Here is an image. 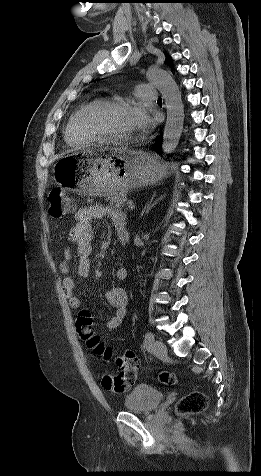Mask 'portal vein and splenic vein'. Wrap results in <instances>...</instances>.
I'll use <instances>...</instances> for the list:
<instances>
[{
  "instance_id": "18ae733b",
  "label": "portal vein and splenic vein",
  "mask_w": 261,
  "mask_h": 476,
  "mask_svg": "<svg viewBox=\"0 0 261 476\" xmlns=\"http://www.w3.org/2000/svg\"><path fill=\"white\" fill-rule=\"evenodd\" d=\"M127 207L129 210H133L135 208V205L133 203V201H128L127 202Z\"/></svg>"
}]
</instances>
